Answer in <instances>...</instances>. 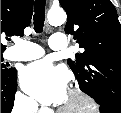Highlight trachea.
Returning a JSON list of instances; mask_svg holds the SVG:
<instances>
[{"instance_id": "obj_1", "label": "trachea", "mask_w": 121, "mask_h": 113, "mask_svg": "<svg viewBox=\"0 0 121 113\" xmlns=\"http://www.w3.org/2000/svg\"><path fill=\"white\" fill-rule=\"evenodd\" d=\"M34 30L41 33L45 21V0H36L34 5Z\"/></svg>"}]
</instances>
